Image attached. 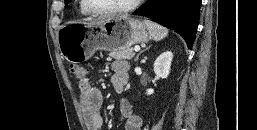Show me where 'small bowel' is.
Listing matches in <instances>:
<instances>
[{"instance_id":"small-bowel-1","label":"small bowel","mask_w":257,"mask_h":130,"mask_svg":"<svg viewBox=\"0 0 257 130\" xmlns=\"http://www.w3.org/2000/svg\"><path fill=\"white\" fill-rule=\"evenodd\" d=\"M112 85L117 93H122L128 81L129 64L126 61H115L112 65ZM80 106L88 130H102L103 117L101 107L103 96L87 77L78 82ZM120 113L125 121L124 130H141L142 120L133 112L130 103L122 99L119 102Z\"/></svg>"}]
</instances>
